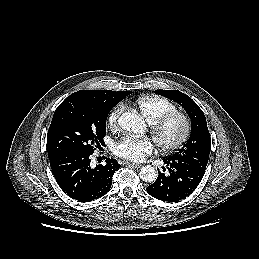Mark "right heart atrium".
I'll return each mask as SVG.
<instances>
[{
	"label": "right heart atrium",
	"mask_w": 259,
	"mask_h": 259,
	"mask_svg": "<svg viewBox=\"0 0 259 259\" xmlns=\"http://www.w3.org/2000/svg\"><path fill=\"white\" fill-rule=\"evenodd\" d=\"M123 105L122 104H118L117 106H115L112 111L109 113L108 115V119H107V124L108 127L111 129H115L118 125V120L119 117L123 111Z\"/></svg>",
	"instance_id": "d8ad5b80"
}]
</instances>
